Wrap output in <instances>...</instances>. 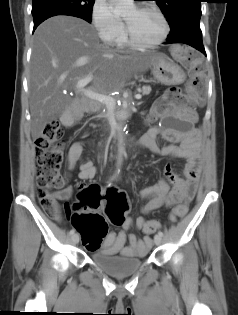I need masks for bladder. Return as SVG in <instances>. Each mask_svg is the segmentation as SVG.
<instances>
[{
	"label": "bladder",
	"instance_id": "31cf9c89",
	"mask_svg": "<svg viewBox=\"0 0 238 315\" xmlns=\"http://www.w3.org/2000/svg\"><path fill=\"white\" fill-rule=\"evenodd\" d=\"M91 261L104 272L113 276H127L136 272L144 259L130 258L122 255H109L94 251L90 256Z\"/></svg>",
	"mask_w": 238,
	"mask_h": 315
}]
</instances>
